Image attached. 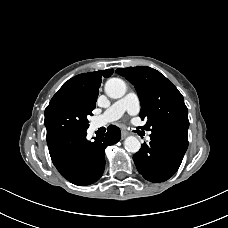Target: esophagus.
Instances as JSON below:
<instances>
[{
    "label": "esophagus",
    "mask_w": 228,
    "mask_h": 228,
    "mask_svg": "<svg viewBox=\"0 0 228 228\" xmlns=\"http://www.w3.org/2000/svg\"><path fill=\"white\" fill-rule=\"evenodd\" d=\"M128 135H129V133L126 130L121 131L122 139L126 138Z\"/></svg>",
    "instance_id": "obj_1"
}]
</instances>
